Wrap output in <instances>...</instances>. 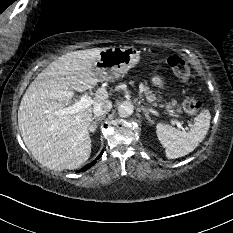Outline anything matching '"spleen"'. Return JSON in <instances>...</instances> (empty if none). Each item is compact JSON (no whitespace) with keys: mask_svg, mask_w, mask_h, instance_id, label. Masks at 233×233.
Here are the masks:
<instances>
[{"mask_svg":"<svg viewBox=\"0 0 233 233\" xmlns=\"http://www.w3.org/2000/svg\"><path fill=\"white\" fill-rule=\"evenodd\" d=\"M210 120L209 110L204 109L195 117L188 132L177 130L168 124L158 123L156 133L165 148L166 157L176 159L192 152L205 138Z\"/></svg>","mask_w":233,"mask_h":233,"instance_id":"1","label":"spleen"}]
</instances>
